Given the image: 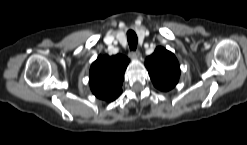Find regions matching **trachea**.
<instances>
[{
	"label": "trachea",
	"mask_w": 247,
	"mask_h": 145,
	"mask_svg": "<svg viewBox=\"0 0 247 145\" xmlns=\"http://www.w3.org/2000/svg\"><path fill=\"white\" fill-rule=\"evenodd\" d=\"M127 40L130 50L135 51L137 48L138 39L136 33L133 30H129L127 32Z\"/></svg>",
	"instance_id": "trachea-1"
}]
</instances>
